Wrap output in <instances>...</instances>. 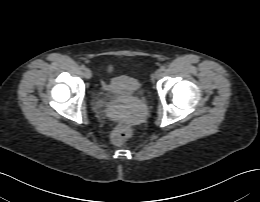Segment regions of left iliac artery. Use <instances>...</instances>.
Instances as JSON below:
<instances>
[{
  "label": "left iliac artery",
  "mask_w": 260,
  "mask_h": 202,
  "mask_svg": "<svg viewBox=\"0 0 260 202\" xmlns=\"http://www.w3.org/2000/svg\"><path fill=\"white\" fill-rule=\"evenodd\" d=\"M162 71H165L166 70V67L165 66H161L160 68Z\"/></svg>",
  "instance_id": "left-iliac-artery-1"
}]
</instances>
